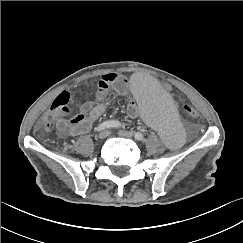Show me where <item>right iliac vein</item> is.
Returning a JSON list of instances; mask_svg holds the SVG:
<instances>
[{"label":"right iliac vein","mask_w":243,"mask_h":243,"mask_svg":"<svg viewBox=\"0 0 243 243\" xmlns=\"http://www.w3.org/2000/svg\"><path fill=\"white\" fill-rule=\"evenodd\" d=\"M109 131H107V130H103V131H101L99 134H98V138L99 139H105L106 137H108L109 136Z\"/></svg>","instance_id":"63e3f726"}]
</instances>
